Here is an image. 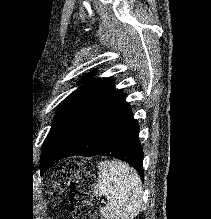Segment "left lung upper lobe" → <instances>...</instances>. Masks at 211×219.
I'll return each mask as SVG.
<instances>
[{
	"label": "left lung upper lobe",
	"mask_w": 211,
	"mask_h": 219,
	"mask_svg": "<svg viewBox=\"0 0 211 219\" xmlns=\"http://www.w3.org/2000/svg\"><path fill=\"white\" fill-rule=\"evenodd\" d=\"M92 73L80 80L84 83L57 108L52 127L43 143L41 161L48 160L73 125L114 85L112 78L92 79Z\"/></svg>",
	"instance_id": "left-lung-upper-lobe-1"
}]
</instances>
